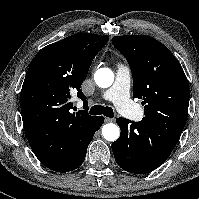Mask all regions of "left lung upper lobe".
Instances as JSON below:
<instances>
[{
	"label": "left lung upper lobe",
	"mask_w": 199,
	"mask_h": 199,
	"mask_svg": "<svg viewBox=\"0 0 199 199\" xmlns=\"http://www.w3.org/2000/svg\"><path fill=\"white\" fill-rule=\"evenodd\" d=\"M113 45L127 59L133 76V97L143 99L144 120L182 133L188 116L189 86L171 51L144 35L117 36Z\"/></svg>",
	"instance_id": "obj_1"
}]
</instances>
